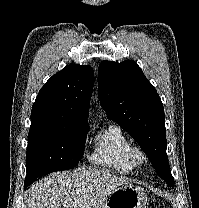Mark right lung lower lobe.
<instances>
[{"label": "right lung lower lobe", "mask_w": 199, "mask_h": 208, "mask_svg": "<svg viewBox=\"0 0 199 208\" xmlns=\"http://www.w3.org/2000/svg\"><path fill=\"white\" fill-rule=\"evenodd\" d=\"M30 184H32L31 182H25L24 186L27 187L29 186Z\"/></svg>", "instance_id": "right-lung-lower-lobe-1"}]
</instances>
